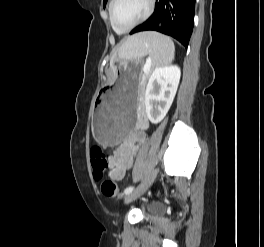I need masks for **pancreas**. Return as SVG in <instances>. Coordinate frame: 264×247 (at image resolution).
<instances>
[{"label": "pancreas", "mask_w": 264, "mask_h": 247, "mask_svg": "<svg viewBox=\"0 0 264 247\" xmlns=\"http://www.w3.org/2000/svg\"><path fill=\"white\" fill-rule=\"evenodd\" d=\"M147 77H148V76H143L144 81H146Z\"/></svg>", "instance_id": "obj_1"}]
</instances>
